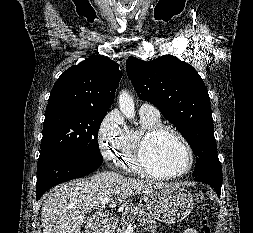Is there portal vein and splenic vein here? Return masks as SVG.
<instances>
[{
  "instance_id": "18ae733b",
  "label": "portal vein and splenic vein",
  "mask_w": 253,
  "mask_h": 233,
  "mask_svg": "<svg viewBox=\"0 0 253 233\" xmlns=\"http://www.w3.org/2000/svg\"><path fill=\"white\" fill-rule=\"evenodd\" d=\"M110 201V198H104L102 201H101V206L102 207H105Z\"/></svg>"
}]
</instances>
